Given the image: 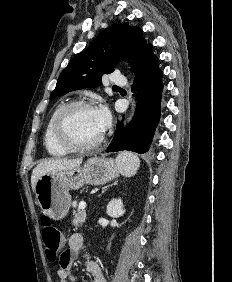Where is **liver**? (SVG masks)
Wrapping results in <instances>:
<instances>
[{"instance_id": "liver-1", "label": "liver", "mask_w": 232, "mask_h": 282, "mask_svg": "<svg viewBox=\"0 0 232 282\" xmlns=\"http://www.w3.org/2000/svg\"><path fill=\"white\" fill-rule=\"evenodd\" d=\"M81 163H82L81 158H77V159L57 158V159H48L41 161L34 168L32 172L31 186L33 191L35 192L36 183L42 175L55 171L73 169L80 166Z\"/></svg>"}]
</instances>
